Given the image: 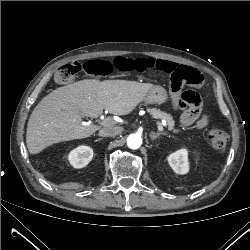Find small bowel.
I'll return each instance as SVG.
<instances>
[{
	"mask_svg": "<svg viewBox=\"0 0 250 250\" xmlns=\"http://www.w3.org/2000/svg\"><path fill=\"white\" fill-rule=\"evenodd\" d=\"M179 65L175 62L158 58H138L136 59L135 70L144 72L156 70L160 72L173 73ZM182 124L186 126L195 125L197 129H204L208 125V116L203 112V106L186 109L181 116Z\"/></svg>",
	"mask_w": 250,
	"mask_h": 250,
	"instance_id": "c3829d8e",
	"label": "small bowel"
}]
</instances>
